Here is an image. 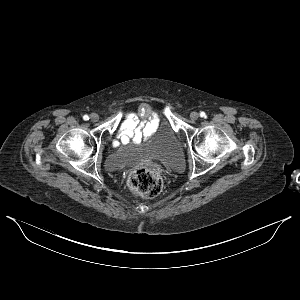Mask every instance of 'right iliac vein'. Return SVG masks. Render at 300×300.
<instances>
[{
    "mask_svg": "<svg viewBox=\"0 0 300 300\" xmlns=\"http://www.w3.org/2000/svg\"><path fill=\"white\" fill-rule=\"evenodd\" d=\"M90 120H91L92 122H97V121L99 120L98 114L92 113V114L90 115Z\"/></svg>",
    "mask_w": 300,
    "mask_h": 300,
    "instance_id": "obj_1",
    "label": "right iliac vein"
}]
</instances>
